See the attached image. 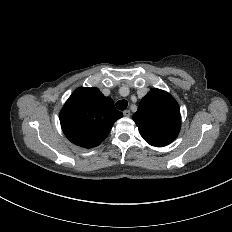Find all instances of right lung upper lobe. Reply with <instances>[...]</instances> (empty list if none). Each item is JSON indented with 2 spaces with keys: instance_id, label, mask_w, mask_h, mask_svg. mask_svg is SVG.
<instances>
[{
  "instance_id": "cb5924a9",
  "label": "right lung upper lobe",
  "mask_w": 232,
  "mask_h": 232,
  "mask_svg": "<svg viewBox=\"0 0 232 232\" xmlns=\"http://www.w3.org/2000/svg\"><path fill=\"white\" fill-rule=\"evenodd\" d=\"M123 114L113 100L97 88H78L60 112V123L65 136L84 148L98 146L109 134L114 122Z\"/></svg>"
}]
</instances>
